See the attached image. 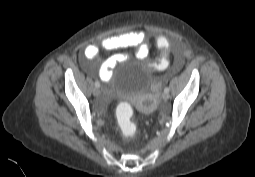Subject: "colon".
Instances as JSON below:
<instances>
[{"label": "colon", "instance_id": "colon-1", "mask_svg": "<svg viewBox=\"0 0 255 177\" xmlns=\"http://www.w3.org/2000/svg\"><path fill=\"white\" fill-rule=\"evenodd\" d=\"M156 44L159 49L157 61L149 63L155 71H164L173 59L172 46L168 44L166 37H157ZM134 111L130 104L121 103L116 110V118L119 129L125 137H132L136 133V125L133 120Z\"/></svg>", "mask_w": 255, "mask_h": 177}]
</instances>
